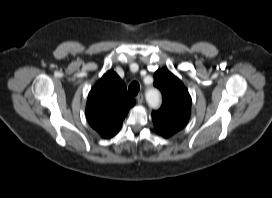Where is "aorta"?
I'll return each mask as SVG.
<instances>
[{
    "instance_id": "762f6f07",
    "label": "aorta",
    "mask_w": 272,
    "mask_h": 198,
    "mask_svg": "<svg viewBox=\"0 0 272 198\" xmlns=\"http://www.w3.org/2000/svg\"><path fill=\"white\" fill-rule=\"evenodd\" d=\"M146 101L150 108H157L161 102V96L157 89H149L146 91Z\"/></svg>"
}]
</instances>
